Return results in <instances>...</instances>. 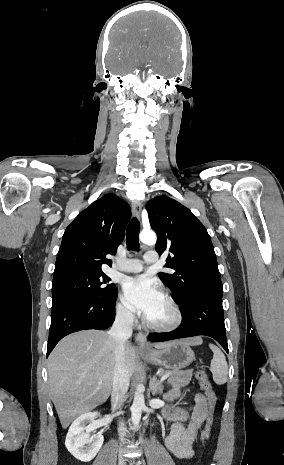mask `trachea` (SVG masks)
I'll return each mask as SVG.
<instances>
[{"mask_svg":"<svg viewBox=\"0 0 284 465\" xmlns=\"http://www.w3.org/2000/svg\"><path fill=\"white\" fill-rule=\"evenodd\" d=\"M139 230H140V223L135 218H133L126 230V244L128 250H138L139 249Z\"/></svg>","mask_w":284,"mask_h":465,"instance_id":"trachea-1","label":"trachea"}]
</instances>
